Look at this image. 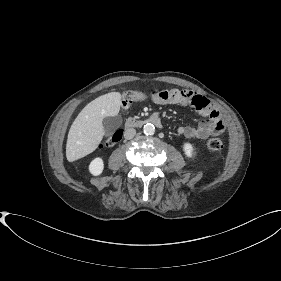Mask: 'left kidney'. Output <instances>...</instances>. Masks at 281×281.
Here are the masks:
<instances>
[{
	"mask_svg": "<svg viewBox=\"0 0 281 281\" xmlns=\"http://www.w3.org/2000/svg\"><path fill=\"white\" fill-rule=\"evenodd\" d=\"M183 151L188 158H193L196 155V149L189 142L183 144Z\"/></svg>",
	"mask_w": 281,
	"mask_h": 281,
	"instance_id": "1",
	"label": "left kidney"
}]
</instances>
